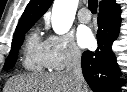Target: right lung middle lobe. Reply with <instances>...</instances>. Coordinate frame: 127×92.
I'll list each match as a JSON object with an SVG mask.
<instances>
[{"label":"right lung middle lobe","instance_id":"obj_1","mask_svg":"<svg viewBox=\"0 0 127 92\" xmlns=\"http://www.w3.org/2000/svg\"><path fill=\"white\" fill-rule=\"evenodd\" d=\"M31 26L25 27L22 30L15 33L12 41V49L3 67L4 70H8L14 66L17 60L18 51L23 43L24 36L26 32L31 28Z\"/></svg>","mask_w":127,"mask_h":92}]
</instances>
